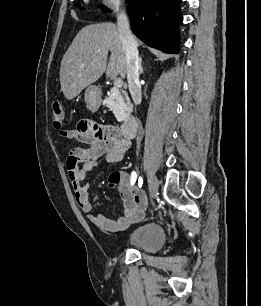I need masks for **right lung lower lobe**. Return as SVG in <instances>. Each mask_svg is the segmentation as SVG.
Returning a JSON list of instances; mask_svg holds the SVG:
<instances>
[{"instance_id":"1","label":"right lung lower lobe","mask_w":261,"mask_h":306,"mask_svg":"<svg viewBox=\"0 0 261 306\" xmlns=\"http://www.w3.org/2000/svg\"><path fill=\"white\" fill-rule=\"evenodd\" d=\"M181 0H130L128 14L132 30L150 47L167 53H177Z\"/></svg>"}]
</instances>
